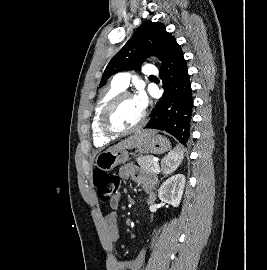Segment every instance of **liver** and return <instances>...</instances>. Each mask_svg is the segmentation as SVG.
<instances>
[{
  "label": "liver",
  "instance_id": "1",
  "mask_svg": "<svg viewBox=\"0 0 267 270\" xmlns=\"http://www.w3.org/2000/svg\"><path fill=\"white\" fill-rule=\"evenodd\" d=\"M155 134L153 130H142L137 131L134 135L120 141L116 145L110 147L108 151L119 150V149H133L138 148L144 144V142Z\"/></svg>",
  "mask_w": 267,
  "mask_h": 270
}]
</instances>
